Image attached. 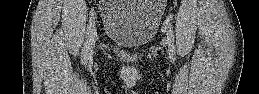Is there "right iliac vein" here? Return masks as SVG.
I'll list each match as a JSON object with an SVG mask.
<instances>
[{"label":"right iliac vein","mask_w":259,"mask_h":94,"mask_svg":"<svg viewBox=\"0 0 259 94\" xmlns=\"http://www.w3.org/2000/svg\"><path fill=\"white\" fill-rule=\"evenodd\" d=\"M96 38H97V31L94 28L92 33L90 34V39L88 43V59H91L93 56Z\"/></svg>","instance_id":"1"}]
</instances>
